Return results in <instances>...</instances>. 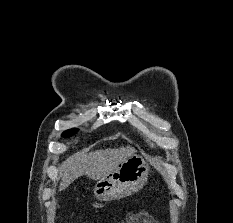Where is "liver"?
Returning a JSON list of instances; mask_svg holds the SVG:
<instances>
[{
	"label": "liver",
	"instance_id": "1",
	"mask_svg": "<svg viewBox=\"0 0 233 223\" xmlns=\"http://www.w3.org/2000/svg\"><path fill=\"white\" fill-rule=\"evenodd\" d=\"M85 151V149H84ZM77 151L63 161L59 171L61 179L59 191L68 187L74 179L81 175H88L91 179H100L106 173L113 171L119 161L134 153L133 147H119V149H95V151Z\"/></svg>",
	"mask_w": 233,
	"mask_h": 223
}]
</instances>
